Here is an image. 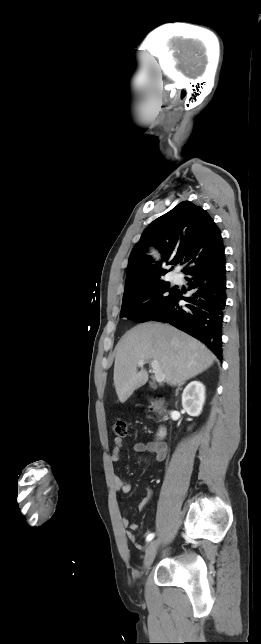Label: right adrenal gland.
Returning <instances> with one entry per match:
<instances>
[{"label":"right adrenal gland","mask_w":261,"mask_h":644,"mask_svg":"<svg viewBox=\"0 0 261 644\" xmlns=\"http://www.w3.org/2000/svg\"><path fill=\"white\" fill-rule=\"evenodd\" d=\"M183 384H184V382L178 386V388L176 389V393H178V391L180 389V386H182Z\"/></svg>","instance_id":"right-adrenal-gland-1"}]
</instances>
